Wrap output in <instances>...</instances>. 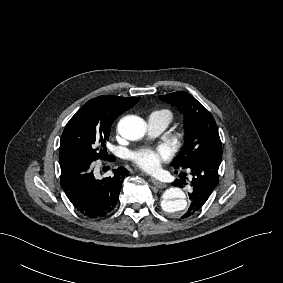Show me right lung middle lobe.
<instances>
[{
  "instance_id": "right-lung-middle-lobe-1",
  "label": "right lung middle lobe",
  "mask_w": 283,
  "mask_h": 283,
  "mask_svg": "<svg viewBox=\"0 0 283 283\" xmlns=\"http://www.w3.org/2000/svg\"><path fill=\"white\" fill-rule=\"evenodd\" d=\"M139 99H121L116 106L89 100L67 123L61 136L59 160L74 156H83L93 161L103 159L112 123Z\"/></svg>"
}]
</instances>
